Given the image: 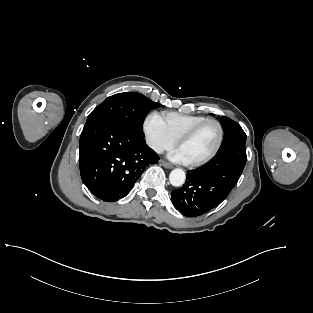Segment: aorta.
Listing matches in <instances>:
<instances>
[{
    "instance_id": "obj_1",
    "label": "aorta",
    "mask_w": 313,
    "mask_h": 313,
    "mask_svg": "<svg viewBox=\"0 0 313 313\" xmlns=\"http://www.w3.org/2000/svg\"><path fill=\"white\" fill-rule=\"evenodd\" d=\"M186 174L182 169H173L169 175V181L171 185L175 187L182 186L185 182Z\"/></svg>"
}]
</instances>
